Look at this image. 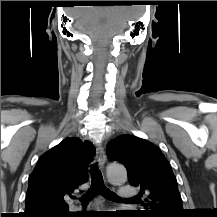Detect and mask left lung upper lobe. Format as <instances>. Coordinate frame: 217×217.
<instances>
[{
  "instance_id": "obj_1",
  "label": "left lung upper lobe",
  "mask_w": 217,
  "mask_h": 217,
  "mask_svg": "<svg viewBox=\"0 0 217 217\" xmlns=\"http://www.w3.org/2000/svg\"><path fill=\"white\" fill-rule=\"evenodd\" d=\"M109 160L124 164L130 185L140 186L145 195L148 217H180L183 214L182 199L177 180L169 162L153 143L133 135H121L106 147Z\"/></svg>"
}]
</instances>
